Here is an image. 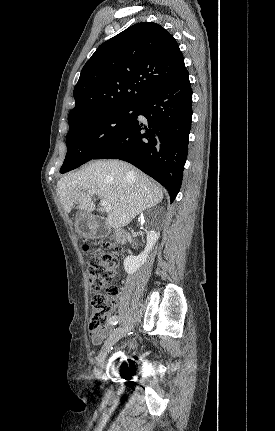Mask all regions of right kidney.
<instances>
[{
    "instance_id": "obj_1",
    "label": "right kidney",
    "mask_w": 275,
    "mask_h": 431,
    "mask_svg": "<svg viewBox=\"0 0 275 431\" xmlns=\"http://www.w3.org/2000/svg\"><path fill=\"white\" fill-rule=\"evenodd\" d=\"M159 236V232L154 230L149 231L147 234V244L145 250L138 256L131 255L124 259V269L128 274L132 275L135 273L147 261L148 254L150 251H152Z\"/></svg>"
}]
</instances>
